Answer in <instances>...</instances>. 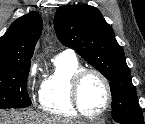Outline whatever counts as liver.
Listing matches in <instances>:
<instances>
[{
	"mask_svg": "<svg viewBox=\"0 0 145 124\" xmlns=\"http://www.w3.org/2000/svg\"><path fill=\"white\" fill-rule=\"evenodd\" d=\"M0 124H79L69 119L32 111H0Z\"/></svg>",
	"mask_w": 145,
	"mask_h": 124,
	"instance_id": "liver-1",
	"label": "liver"
}]
</instances>
